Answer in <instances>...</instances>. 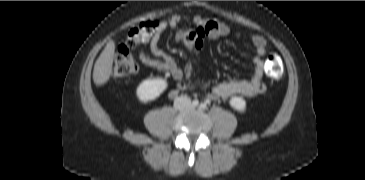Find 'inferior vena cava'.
Instances as JSON below:
<instances>
[{
	"mask_svg": "<svg viewBox=\"0 0 365 180\" xmlns=\"http://www.w3.org/2000/svg\"><path fill=\"white\" fill-rule=\"evenodd\" d=\"M191 104V101L187 97H178L174 101V106L177 109H182L184 107H187Z\"/></svg>",
	"mask_w": 365,
	"mask_h": 180,
	"instance_id": "inferior-vena-cava-1",
	"label": "inferior vena cava"
}]
</instances>
